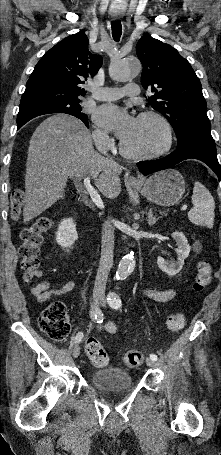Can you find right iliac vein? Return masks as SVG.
<instances>
[{"instance_id": "63e3f726", "label": "right iliac vein", "mask_w": 221, "mask_h": 455, "mask_svg": "<svg viewBox=\"0 0 221 455\" xmlns=\"http://www.w3.org/2000/svg\"><path fill=\"white\" fill-rule=\"evenodd\" d=\"M102 300H103V296H101V295H95V296H94V301H95L96 303L102 302ZM79 354H80V347H79L78 345H76V346L73 348V353H72V355H73L74 358H78Z\"/></svg>"}]
</instances>
